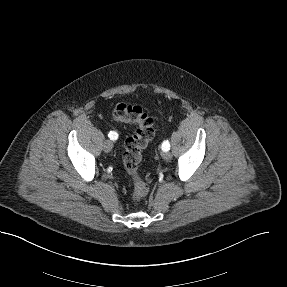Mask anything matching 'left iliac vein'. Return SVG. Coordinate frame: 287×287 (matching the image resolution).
<instances>
[{"label":"left iliac vein","instance_id":"obj_1","mask_svg":"<svg viewBox=\"0 0 287 287\" xmlns=\"http://www.w3.org/2000/svg\"><path fill=\"white\" fill-rule=\"evenodd\" d=\"M162 158L164 160H170L172 158V154L168 151H164V152H162Z\"/></svg>","mask_w":287,"mask_h":287}]
</instances>
